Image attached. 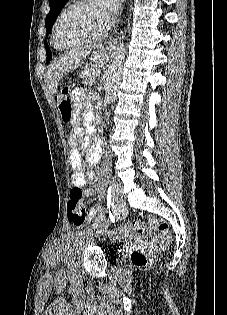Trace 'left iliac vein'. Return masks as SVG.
I'll use <instances>...</instances> for the list:
<instances>
[{
	"instance_id": "left-iliac-vein-1",
	"label": "left iliac vein",
	"mask_w": 227,
	"mask_h": 315,
	"mask_svg": "<svg viewBox=\"0 0 227 315\" xmlns=\"http://www.w3.org/2000/svg\"><path fill=\"white\" fill-rule=\"evenodd\" d=\"M114 190H115V194H116L114 213L119 214L121 212V210L123 209V207L125 206V196L122 193L121 187L118 183L114 184ZM108 226H109V220H104L100 224L99 228L97 229L96 236H100V235L104 234L107 231Z\"/></svg>"
}]
</instances>
